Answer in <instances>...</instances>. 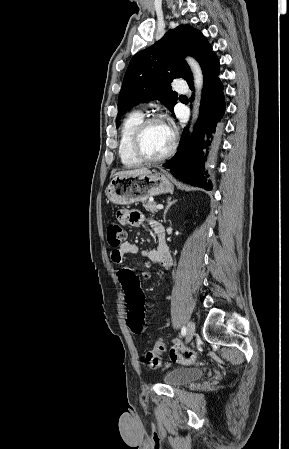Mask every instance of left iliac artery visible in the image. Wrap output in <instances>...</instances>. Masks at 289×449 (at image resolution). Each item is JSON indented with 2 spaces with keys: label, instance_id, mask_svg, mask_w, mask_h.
Instances as JSON below:
<instances>
[{
  "label": "left iliac artery",
  "instance_id": "left-iliac-artery-1",
  "mask_svg": "<svg viewBox=\"0 0 289 449\" xmlns=\"http://www.w3.org/2000/svg\"><path fill=\"white\" fill-rule=\"evenodd\" d=\"M181 334H182V336L186 335V327L185 326L182 327Z\"/></svg>",
  "mask_w": 289,
  "mask_h": 449
}]
</instances>
